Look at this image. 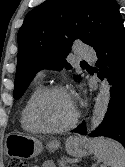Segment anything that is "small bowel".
Instances as JSON below:
<instances>
[{"label":"small bowel","mask_w":125,"mask_h":167,"mask_svg":"<svg viewBox=\"0 0 125 167\" xmlns=\"http://www.w3.org/2000/svg\"><path fill=\"white\" fill-rule=\"evenodd\" d=\"M41 167H55V165L52 162H46Z\"/></svg>","instance_id":"c3829d8e"}]
</instances>
